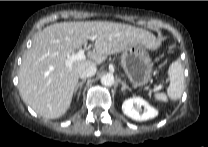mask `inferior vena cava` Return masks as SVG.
Listing matches in <instances>:
<instances>
[{
  "mask_svg": "<svg viewBox=\"0 0 208 147\" xmlns=\"http://www.w3.org/2000/svg\"><path fill=\"white\" fill-rule=\"evenodd\" d=\"M97 71L96 65H89L79 71V77L86 79L88 77L94 76Z\"/></svg>",
  "mask_w": 208,
  "mask_h": 147,
  "instance_id": "obj_1",
  "label": "inferior vena cava"
}]
</instances>
